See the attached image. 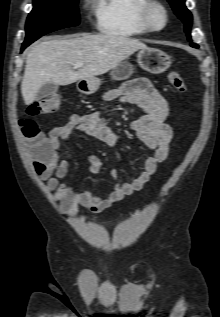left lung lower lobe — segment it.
Segmentation results:
<instances>
[{"label":"left lung lower lobe","mask_w":220,"mask_h":317,"mask_svg":"<svg viewBox=\"0 0 220 317\" xmlns=\"http://www.w3.org/2000/svg\"><path fill=\"white\" fill-rule=\"evenodd\" d=\"M192 47H194V48H198V46H192Z\"/></svg>","instance_id":"0a47b994"}]
</instances>
